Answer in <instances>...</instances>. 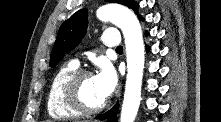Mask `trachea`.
Segmentation results:
<instances>
[{
    "mask_svg": "<svg viewBox=\"0 0 221 122\" xmlns=\"http://www.w3.org/2000/svg\"><path fill=\"white\" fill-rule=\"evenodd\" d=\"M122 49H123L122 46H118V47L116 48V50H122Z\"/></svg>",
    "mask_w": 221,
    "mask_h": 122,
    "instance_id": "3493384b",
    "label": "trachea"
}]
</instances>
